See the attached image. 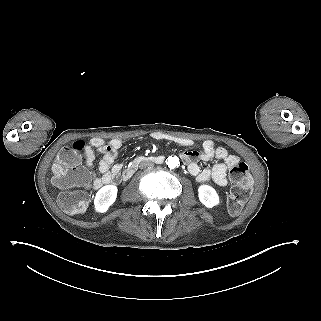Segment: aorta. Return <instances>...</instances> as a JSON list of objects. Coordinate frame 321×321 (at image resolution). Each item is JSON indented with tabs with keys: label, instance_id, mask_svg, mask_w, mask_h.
<instances>
[{
	"label": "aorta",
	"instance_id": "obj_1",
	"mask_svg": "<svg viewBox=\"0 0 321 321\" xmlns=\"http://www.w3.org/2000/svg\"><path fill=\"white\" fill-rule=\"evenodd\" d=\"M166 164L168 165V167L170 169H175L177 167H179L180 165V161L178 157H168V159L166 160Z\"/></svg>",
	"mask_w": 321,
	"mask_h": 321
}]
</instances>
